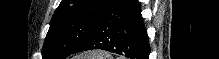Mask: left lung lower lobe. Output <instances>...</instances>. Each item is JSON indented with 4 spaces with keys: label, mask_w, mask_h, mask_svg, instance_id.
<instances>
[{
    "label": "left lung lower lobe",
    "mask_w": 219,
    "mask_h": 59,
    "mask_svg": "<svg viewBox=\"0 0 219 59\" xmlns=\"http://www.w3.org/2000/svg\"><path fill=\"white\" fill-rule=\"evenodd\" d=\"M92 49L129 59H149L147 30L137 0H113L95 31L72 54Z\"/></svg>",
    "instance_id": "left-lung-lower-lobe-1"
}]
</instances>
